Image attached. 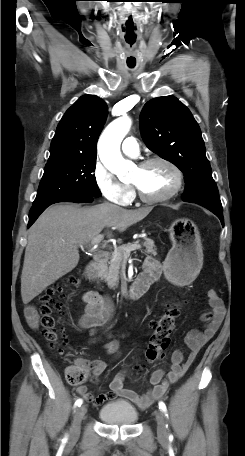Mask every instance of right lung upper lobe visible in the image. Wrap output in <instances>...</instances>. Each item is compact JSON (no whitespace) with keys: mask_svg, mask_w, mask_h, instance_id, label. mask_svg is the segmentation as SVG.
Listing matches in <instances>:
<instances>
[{"mask_svg":"<svg viewBox=\"0 0 245 456\" xmlns=\"http://www.w3.org/2000/svg\"><path fill=\"white\" fill-rule=\"evenodd\" d=\"M106 103L95 95L81 96L59 122L47 163L96 156L97 140L107 117Z\"/></svg>","mask_w":245,"mask_h":456,"instance_id":"1","label":"right lung upper lobe"}]
</instances>
